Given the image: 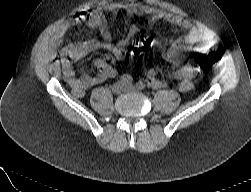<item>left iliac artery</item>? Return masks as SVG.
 Wrapping results in <instances>:
<instances>
[{
    "label": "left iliac artery",
    "instance_id": "1",
    "mask_svg": "<svg viewBox=\"0 0 251 192\" xmlns=\"http://www.w3.org/2000/svg\"><path fill=\"white\" fill-rule=\"evenodd\" d=\"M146 86H150V83L148 82L147 84H145L144 82L140 81L137 83V88L140 90H143L146 88Z\"/></svg>",
    "mask_w": 251,
    "mask_h": 192
}]
</instances>
